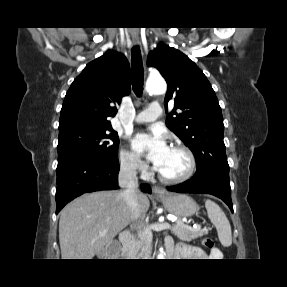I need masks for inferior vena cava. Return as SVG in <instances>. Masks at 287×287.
<instances>
[{
	"label": "inferior vena cava",
	"mask_w": 287,
	"mask_h": 287,
	"mask_svg": "<svg viewBox=\"0 0 287 287\" xmlns=\"http://www.w3.org/2000/svg\"><path fill=\"white\" fill-rule=\"evenodd\" d=\"M136 172V165L132 161L122 162L120 165V171L118 176V183L121 188H123L122 196L130 209L132 218L137 219L140 215L139 203H138V178ZM142 238L146 240V257L145 259H149L150 250V242L152 239V234L149 230L145 229L141 234Z\"/></svg>",
	"instance_id": "1"
}]
</instances>
